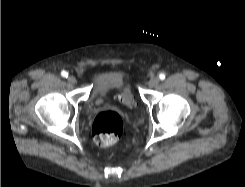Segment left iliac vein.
<instances>
[{
	"label": "left iliac vein",
	"instance_id": "1",
	"mask_svg": "<svg viewBox=\"0 0 245 187\" xmlns=\"http://www.w3.org/2000/svg\"><path fill=\"white\" fill-rule=\"evenodd\" d=\"M159 81H160L159 77H158V76H154V77H152V78L149 80L148 86H149L150 88L156 87V86L159 84Z\"/></svg>",
	"mask_w": 245,
	"mask_h": 187
}]
</instances>
